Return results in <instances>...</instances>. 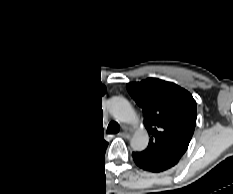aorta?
I'll use <instances>...</instances> for the list:
<instances>
[{"label":"aorta","mask_w":233,"mask_h":194,"mask_svg":"<svg viewBox=\"0 0 233 194\" xmlns=\"http://www.w3.org/2000/svg\"><path fill=\"white\" fill-rule=\"evenodd\" d=\"M111 108L118 112L122 120L136 127L139 124V118L131 106L124 100L113 99L110 103ZM148 144V134L144 129H139L133 135L131 146L135 150H143Z\"/></svg>","instance_id":"1"}]
</instances>
